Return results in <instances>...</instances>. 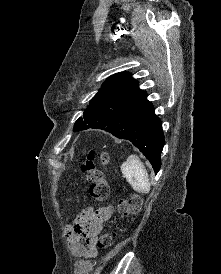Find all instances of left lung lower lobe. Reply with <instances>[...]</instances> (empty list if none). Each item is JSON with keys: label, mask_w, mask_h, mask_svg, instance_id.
I'll list each match as a JSON object with an SVG mask.
<instances>
[{"label": "left lung lower lobe", "mask_w": 221, "mask_h": 274, "mask_svg": "<svg viewBox=\"0 0 221 274\" xmlns=\"http://www.w3.org/2000/svg\"><path fill=\"white\" fill-rule=\"evenodd\" d=\"M92 114L96 122L85 129H102L117 138L131 141L150 161L155 173L160 170L164 134L146 92L133 100L121 99L95 107Z\"/></svg>", "instance_id": "left-lung-lower-lobe-1"}]
</instances>
